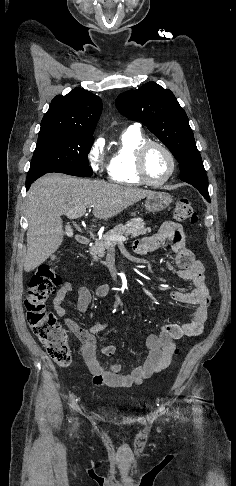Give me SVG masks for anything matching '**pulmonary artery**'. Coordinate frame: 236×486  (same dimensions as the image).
Returning a JSON list of instances; mask_svg holds the SVG:
<instances>
[{
  "label": "pulmonary artery",
  "instance_id": "e3ab8cb5",
  "mask_svg": "<svg viewBox=\"0 0 236 486\" xmlns=\"http://www.w3.org/2000/svg\"><path fill=\"white\" fill-rule=\"evenodd\" d=\"M134 127H137V128H138V127H139V125H138V124H135V125H134Z\"/></svg>",
  "mask_w": 236,
  "mask_h": 486
}]
</instances>
